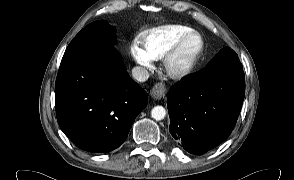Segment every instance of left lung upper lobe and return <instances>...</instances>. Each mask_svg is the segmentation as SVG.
<instances>
[{
	"mask_svg": "<svg viewBox=\"0 0 294 180\" xmlns=\"http://www.w3.org/2000/svg\"><path fill=\"white\" fill-rule=\"evenodd\" d=\"M223 67H242L236 52L231 48L226 47L220 50L207 66L198 73V76L202 77L215 69Z\"/></svg>",
	"mask_w": 294,
	"mask_h": 180,
	"instance_id": "1",
	"label": "left lung upper lobe"
}]
</instances>
